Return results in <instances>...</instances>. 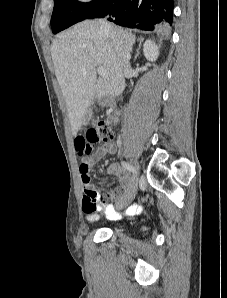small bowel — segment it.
<instances>
[{
    "label": "small bowel",
    "mask_w": 227,
    "mask_h": 298,
    "mask_svg": "<svg viewBox=\"0 0 227 298\" xmlns=\"http://www.w3.org/2000/svg\"><path fill=\"white\" fill-rule=\"evenodd\" d=\"M77 139H73L77 158H83L80 165L81 186L83 190V212L88 221H94L98 218V213L104 212L110 219H118L120 214L113 209L107 201H117L122 204L129 196L133 188V180L123 171L117 164H111L107 168V172L119 178L122 186L116 188L106 196H101L98 189L90 183L89 169L98 163L107 154H114L117 151V145L114 142L104 143L95 151L92 142H85L86 134H77ZM88 155H90L88 157ZM141 211V207L130 205L126 208V215H134Z\"/></svg>",
    "instance_id": "obj_1"
}]
</instances>
